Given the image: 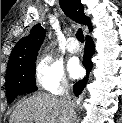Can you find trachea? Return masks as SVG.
I'll return each instance as SVG.
<instances>
[{"label": "trachea", "instance_id": "3493384b", "mask_svg": "<svg viewBox=\"0 0 122 123\" xmlns=\"http://www.w3.org/2000/svg\"><path fill=\"white\" fill-rule=\"evenodd\" d=\"M76 38H77L78 41H80L81 43L84 42V35H83L82 29H78V31H77V33H76Z\"/></svg>", "mask_w": 122, "mask_h": 123}]
</instances>
